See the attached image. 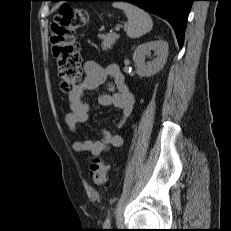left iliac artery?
I'll use <instances>...</instances> for the list:
<instances>
[{
	"mask_svg": "<svg viewBox=\"0 0 231 231\" xmlns=\"http://www.w3.org/2000/svg\"><path fill=\"white\" fill-rule=\"evenodd\" d=\"M111 227L110 216H108L104 222V228L109 229Z\"/></svg>",
	"mask_w": 231,
	"mask_h": 231,
	"instance_id": "1",
	"label": "left iliac artery"
}]
</instances>
